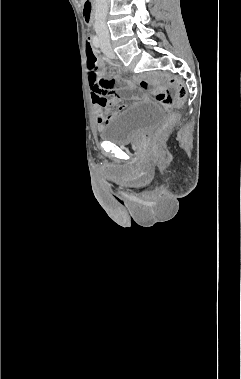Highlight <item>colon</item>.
<instances>
[{"label":"colon","mask_w":241,"mask_h":379,"mask_svg":"<svg viewBox=\"0 0 241 379\" xmlns=\"http://www.w3.org/2000/svg\"><path fill=\"white\" fill-rule=\"evenodd\" d=\"M86 62H87V69H88L87 80L88 82H91L90 83L91 89H94L97 93L101 95H105L110 92H113L114 94L118 96L124 95L123 92L116 90L113 82L100 80L99 75H97V67H98L97 56L94 49L92 48L91 43L88 40L86 42ZM171 82H174L178 86V91L175 97L169 92H160L156 95V100L164 108H169L174 103L180 104L185 100V97H186L185 88L181 86L176 80H172ZM176 121H177V115L171 114L167 118L163 126L159 129L156 139L161 138Z\"/></svg>","instance_id":"colon-1"}]
</instances>
